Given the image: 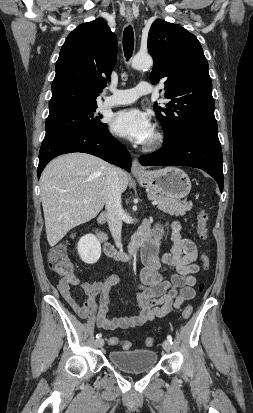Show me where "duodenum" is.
I'll return each instance as SVG.
<instances>
[{
  "instance_id": "obj_1",
  "label": "duodenum",
  "mask_w": 253,
  "mask_h": 413,
  "mask_svg": "<svg viewBox=\"0 0 253 413\" xmlns=\"http://www.w3.org/2000/svg\"><path fill=\"white\" fill-rule=\"evenodd\" d=\"M106 214L102 213L98 219V224L104 223ZM94 233L97 239L102 243L104 252L109 256L119 261H128L134 258L139 248L146 245L153 237V231L148 222H144L138 231L132 237L127 251L117 249L111 242L108 241L107 236L99 229L95 228Z\"/></svg>"
}]
</instances>
